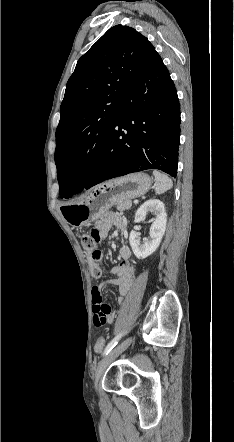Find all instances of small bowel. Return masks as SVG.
<instances>
[{"mask_svg": "<svg viewBox=\"0 0 234 442\" xmlns=\"http://www.w3.org/2000/svg\"><path fill=\"white\" fill-rule=\"evenodd\" d=\"M112 227L119 229L123 233L126 231V224L121 216L112 212L102 215L95 224V229L98 231L99 239L107 237L108 232ZM119 255L122 259L121 263L111 268V273L115 275L116 278L107 280L100 285L95 286L93 289H97L101 292L106 285H116L120 294L118 300L119 302H122L123 297L128 293L132 286L134 280V269L128 262L131 256V251L127 245L124 244L120 247ZM90 262L91 264L97 262L100 265L103 263V256L100 254L96 260L90 256ZM115 317L116 314L110 307L107 314H93V326L94 328H107L108 323L111 324L115 320Z\"/></svg>", "mask_w": 234, "mask_h": 442, "instance_id": "c3829d8e", "label": "small bowel"}]
</instances>
